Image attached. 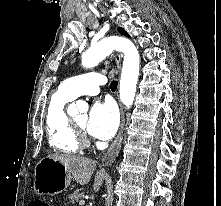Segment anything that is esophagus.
Wrapping results in <instances>:
<instances>
[{
	"instance_id": "1",
	"label": "esophagus",
	"mask_w": 221,
	"mask_h": 206,
	"mask_svg": "<svg viewBox=\"0 0 221 206\" xmlns=\"http://www.w3.org/2000/svg\"><path fill=\"white\" fill-rule=\"evenodd\" d=\"M121 59H122V56L120 54L118 53L115 54V62L119 69L121 65ZM120 112H121L120 128H119V131L115 140L113 141L110 148L102 157L101 161H102L103 166H109L115 160L121 148L123 133H124V126H125V115H124V111H123V107L121 103H120Z\"/></svg>"
}]
</instances>
